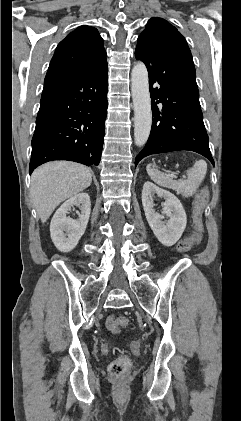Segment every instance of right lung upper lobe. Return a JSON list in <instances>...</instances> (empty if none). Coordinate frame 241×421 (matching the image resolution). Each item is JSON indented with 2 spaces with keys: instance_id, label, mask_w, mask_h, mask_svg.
<instances>
[{
  "instance_id": "1",
  "label": "right lung upper lobe",
  "mask_w": 241,
  "mask_h": 421,
  "mask_svg": "<svg viewBox=\"0 0 241 421\" xmlns=\"http://www.w3.org/2000/svg\"><path fill=\"white\" fill-rule=\"evenodd\" d=\"M103 61H106V51L98 30L87 25L79 26L58 44L44 84L88 72Z\"/></svg>"
}]
</instances>
